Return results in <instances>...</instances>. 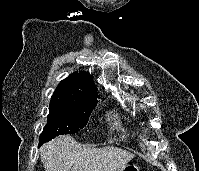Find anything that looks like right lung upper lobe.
Wrapping results in <instances>:
<instances>
[{"mask_svg":"<svg viewBox=\"0 0 199 171\" xmlns=\"http://www.w3.org/2000/svg\"><path fill=\"white\" fill-rule=\"evenodd\" d=\"M98 93L90 73L81 71L73 73L57 86L52 98L72 101L88 102L97 100Z\"/></svg>","mask_w":199,"mask_h":171,"instance_id":"1","label":"right lung upper lobe"}]
</instances>
